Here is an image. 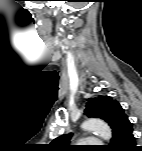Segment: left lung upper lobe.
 <instances>
[{
	"label": "left lung upper lobe",
	"instance_id": "1",
	"mask_svg": "<svg viewBox=\"0 0 142 151\" xmlns=\"http://www.w3.org/2000/svg\"><path fill=\"white\" fill-rule=\"evenodd\" d=\"M84 114L88 117H99L106 121L112 128L111 146L129 128L132 127L128 116L118 101L109 96H99L87 99ZM72 134L61 135L51 142V146L58 151L68 150ZM109 146L108 148H111Z\"/></svg>",
	"mask_w": 142,
	"mask_h": 151
}]
</instances>
